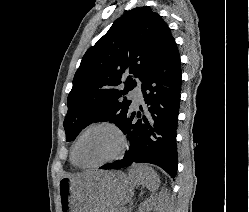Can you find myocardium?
Segmentation results:
<instances>
[{
	"instance_id": "f54148a6",
	"label": "myocardium",
	"mask_w": 249,
	"mask_h": 212,
	"mask_svg": "<svg viewBox=\"0 0 249 212\" xmlns=\"http://www.w3.org/2000/svg\"><path fill=\"white\" fill-rule=\"evenodd\" d=\"M98 129H109L112 130L118 137L119 139V148L118 151L115 155L111 156L110 158H107L104 161H101L97 164H92V165H85L79 162L77 158V146L79 141L89 132L98 130ZM129 146V139L126 134V131L117 123L109 120H104V121H99L94 124L89 125L86 127L74 140L73 146H72V159L73 162L75 163L76 166H78L81 169H98L101 167H104L110 163H113L119 159H121L126 150L128 149Z\"/></svg>"
}]
</instances>
